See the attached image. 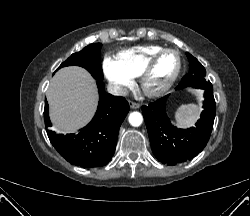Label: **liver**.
I'll return each mask as SVG.
<instances>
[{
    "label": "liver",
    "instance_id": "6515ba94",
    "mask_svg": "<svg viewBox=\"0 0 250 216\" xmlns=\"http://www.w3.org/2000/svg\"><path fill=\"white\" fill-rule=\"evenodd\" d=\"M50 117L58 132L70 133L84 126L97 106V88L83 68L69 66L59 70L47 91Z\"/></svg>",
    "mask_w": 250,
    "mask_h": 216
}]
</instances>
